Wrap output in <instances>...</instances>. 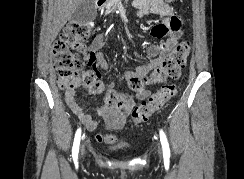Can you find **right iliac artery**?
Segmentation results:
<instances>
[{
	"label": "right iliac artery",
	"mask_w": 244,
	"mask_h": 179,
	"mask_svg": "<svg viewBox=\"0 0 244 179\" xmlns=\"http://www.w3.org/2000/svg\"><path fill=\"white\" fill-rule=\"evenodd\" d=\"M80 137H81V129L79 128L75 134L73 148H72V156L74 160H77L78 158Z\"/></svg>",
	"instance_id": "obj_1"
}]
</instances>
